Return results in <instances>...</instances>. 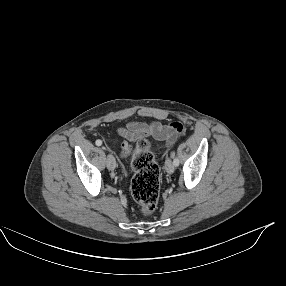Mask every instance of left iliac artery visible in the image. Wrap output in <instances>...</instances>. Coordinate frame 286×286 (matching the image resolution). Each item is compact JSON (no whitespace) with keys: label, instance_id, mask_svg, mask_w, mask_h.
Instances as JSON below:
<instances>
[{"label":"left iliac artery","instance_id":"1","mask_svg":"<svg viewBox=\"0 0 286 286\" xmlns=\"http://www.w3.org/2000/svg\"><path fill=\"white\" fill-rule=\"evenodd\" d=\"M172 156L174 157V153L172 154ZM173 164H174V166H178L179 165V160H178V158H174V160H173Z\"/></svg>","mask_w":286,"mask_h":286}]
</instances>
